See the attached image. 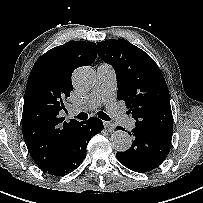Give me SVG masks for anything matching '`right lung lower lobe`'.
Returning a JSON list of instances; mask_svg holds the SVG:
<instances>
[{
  "instance_id": "obj_1",
  "label": "right lung lower lobe",
  "mask_w": 203,
  "mask_h": 203,
  "mask_svg": "<svg viewBox=\"0 0 203 203\" xmlns=\"http://www.w3.org/2000/svg\"><path fill=\"white\" fill-rule=\"evenodd\" d=\"M102 130L103 122L96 117L75 125L54 164L42 171L54 176H64L74 171L85 158L91 137Z\"/></svg>"
}]
</instances>
